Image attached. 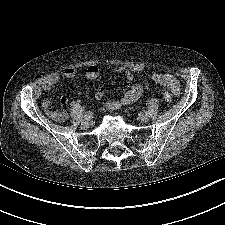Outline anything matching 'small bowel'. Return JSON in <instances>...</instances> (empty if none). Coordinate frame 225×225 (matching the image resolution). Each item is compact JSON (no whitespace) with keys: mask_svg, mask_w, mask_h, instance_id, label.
<instances>
[{"mask_svg":"<svg viewBox=\"0 0 225 225\" xmlns=\"http://www.w3.org/2000/svg\"><path fill=\"white\" fill-rule=\"evenodd\" d=\"M117 73L125 72L126 78L129 81H132L135 77L136 73L142 71V67L134 66L128 70L124 66H119L115 70ZM76 72L71 67L64 68L60 73H53L46 77L42 82V89L44 91L51 90L61 78L71 79L75 76ZM99 76V69L96 65H90L86 71V78L89 80H94ZM151 80L153 83L165 86L169 88L175 95L180 93V85L177 79L169 74V73H155L152 74ZM145 89V85L136 83L131 86V88L122 96L120 100H105V90L103 88H99L95 91V98L101 101V108L104 110H116L120 109L123 106L132 104L136 100H138L143 91ZM60 103L62 105L67 103V98L62 96L60 98ZM42 106L46 113L53 119L61 121L65 118L66 114L62 110H57L53 108L52 102L50 99H46L43 101ZM62 114L64 116H62Z\"/></svg>","mask_w":225,"mask_h":225,"instance_id":"c3829d8e","label":"small bowel"}]
</instances>
